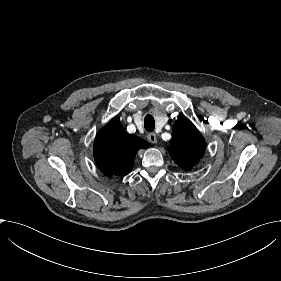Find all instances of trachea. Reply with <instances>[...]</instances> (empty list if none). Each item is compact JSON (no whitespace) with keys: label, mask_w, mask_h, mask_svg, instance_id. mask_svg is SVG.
<instances>
[{"label":"trachea","mask_w":281,"mask_h":281,"mask_svg":"<svg viewBox=\"0 0 281 281\" xmlns=\"http://www.w3.org/2000/svg\"><path fill=\"white\" fill-rule=\"evenodd\" d=\"M144 127L146 131L152 132L155 128V121L152 115H146L144 118Z\"/></svg>","instance_id":"trachea-1"}]
</instances>
